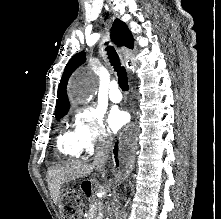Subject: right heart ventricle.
Returning a JSON list of instances; mask_svg holds the SVG:
<instances>
[{"instance_id":"right-heart-ventricle-1","label":"right heart ventricle","mask_w":221,"mask_h":219,"mask_svg":"<svg viewBox=\"0 0 221 219\" xmlns=\"http://www.w3.org/2000/svg\"><path fill=\"white\" fill-rule=\"evenodd\" d=\"M58 150L65 157L73 158L81 154L73 131H65L58 137Z\"/></svg>"}]
</instances>
